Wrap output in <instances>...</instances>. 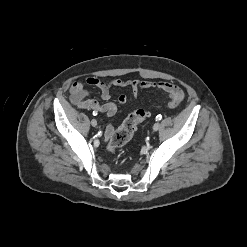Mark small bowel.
Masks as SVG:
<instances>
[{"label": "small bowel", "instance_id": "1", "mask_svg": "<svg viewBox=\"0 0 247 247\" xmlns=\"http://www.w3.org/2000/svg\"><path fill=\"white\" fill-rule=\"evenodd\" d=\"M86 83L90 86L98 88L101 97L106 101L100 104L96 99L90 98L88 91L85 89L84 83L74 82L70 88V99L73 104L81 109L94 110L112 117L117 114L118 107L114 102L109 101L111 98L110 89L112 87H129L132 90V98L137 99L141 89L158 90L169 96L168 106L177 108L184 99L183 90L176 84L170 82H155L150 80H122L113 79L105 82L97 77H88ZM121 107H125L128 101L127 96L121 95L118 99ZM113 133V126L107 125L105 128V136L109 138Z\"/></svg>", "mask_w": 247, "mask_h": 247}]
</instances>
